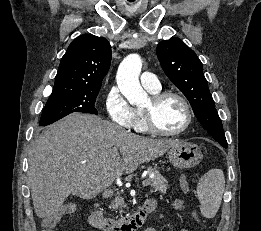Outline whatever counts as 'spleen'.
Instances as JSON below:
<instances>
[{
    "instance_id": "3e777b00",
    "label": "spleen",
    "mask_w": 261,
    "mask_h": 231,
    "mask_svg": "<svg viewBox=\"0 0 261 231\" xmlns=\"http://www.w3.org/2000/svg\"><path fill=\"white\" fill-rule=\"evenodd\" d=\"M225 189L224 173L220 169H211L204 174L197 185V197L201 204V214L213 218L221 205Z\"/></svg>"
}]
</instances>
